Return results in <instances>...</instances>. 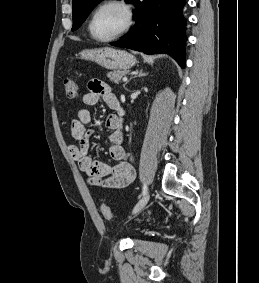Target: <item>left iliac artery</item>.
I'll return each instance as SVG.
<instances>
[{"mask_svg": "<svg viewBox=\"0 0 259 283\" xmlns=\"http://www.w3.org/2000/svg\"><path fill=\"white\" fill-rule=\"evenodd\" d=\"M146 192H147V185L144 184V185H143V188H142V195H145Z\"/></svg>", "mask_w": 259, "mask_h": 283, "instance_id": "obj_1", "label": "left iliac artery"}]
</instances>
